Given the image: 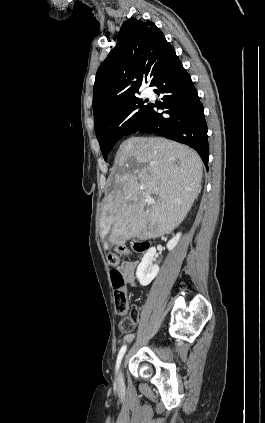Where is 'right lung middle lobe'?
I'll list each match as a JSON object with an SVG mask.
<instances>
[{"mask_svg":"<svg viewBox=\"0 0 265 423\" xmlns=\"http://www.w3.org/2000/svg\"><path fill=\"white\" fill-rule=\"evenodd\" d=\"M147 100L132 96L111 109L100 120L94 123L95 134L105 161L107 154L119 139L139 122L149 109Z\"/></svg>","mask_w":265,"mask_h":423,"instance_id":"1","label":"right lung middle lobe"}]
</instances>
